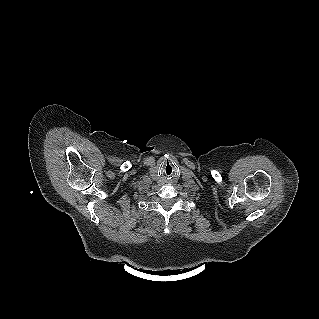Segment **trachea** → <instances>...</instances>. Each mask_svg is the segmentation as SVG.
Masks as SVG:
<instances>
[{"label":"trachea","mask_w":319,"mask_h":319,"mask_svg":"<svg viewBox=\"0 0 319 319\" xmlns=\"http://www.w3.org/2000/svg\"><path fill=\"white\" fill-rule=\"evenodd\" d=\"M172 172H173L172 166L169 163H167V165L165 167V175H171Z\"/></svg>","instance_id":"1"}]
</instances>
